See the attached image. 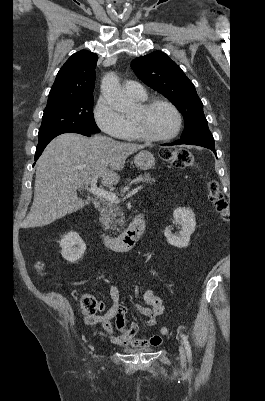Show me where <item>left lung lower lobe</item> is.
<instances>
[{
    "instance_id": "obj_1",
    "label": "left lung lower lobe",
    "mask_w": 265,
    "mask_h": 401,
    "mask_svg": "<svg viewBox=\"0 0 265 401\" xmlns=\"http://www.w3.org/2000/svg\"><path fill=\"white\" fill-rule=\"evenodd\" d=\"M180 144H187V145H198L205 148L212 150L215 155V147H214V138L210 131H205L202 133H198L186 138H181L180 140L171 143V144H163V145H180Z\"/></svg>"
}]
</instances>
